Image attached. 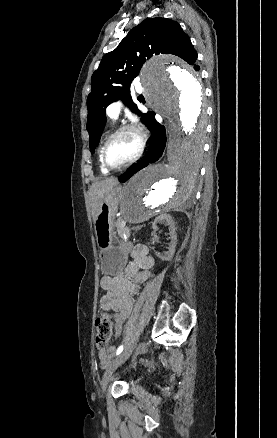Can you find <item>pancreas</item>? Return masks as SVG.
<instances>
[{"instance_id": "1", "label": "pancreas", "mask_w": 277, "mask_h": 438, "mask_svg": "<svg viewBox=\"0 0 277 438\" xmlns=\"http://www.w3.org/2000/svg\"><path fill=\"white\" fill-rule=\"evenodd\" d=\"M130 226H125V228L124 229H122V228H119V229H117V231H116V234H117V236H119V237H122V236H124V234H126V232H128V231H130Z\"/></svg>"}]
</instances>
